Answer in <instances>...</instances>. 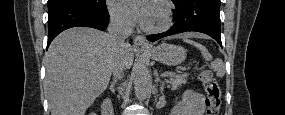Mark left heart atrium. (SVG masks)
Returning <instances> with one entry per match:
<instances>
[{
  "mask_svg": "<svg viewBox=\"0 0 285 115\" xmlns=\"http://www.w3.org/2000/svg\"><path fill=\"white\" fill-rule=\"evenodd\" d=\"M124 6L131 12L136 22L150 26L154 6L148 0H124Z\"/></svg>",
  "mask_w": 285,
  "mask_h": 115,
  "instance_id": "left-heart-atrium-1",
  "label": "left heart atrium"
}]
</instances>
